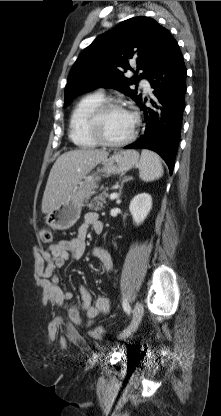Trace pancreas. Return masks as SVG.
<instances>
[{
    "mask_svg": "<svg viewBox=\"0 0 221 416\" xmlns=\"http://www.w3.org/2000/svg\"><path fill=\"white\" fill-rule=\"evenodd\" d=\"M109 197L108 192L105 190L101 194L95 196L88 204L89 209L100 210L106 204V198Z\"/></svg>",
    "mask_w": 221,
    "mask_h": 416,
    "instance_id": "cf45deb5",
    "label": "pancreas"
}]
</instances>
